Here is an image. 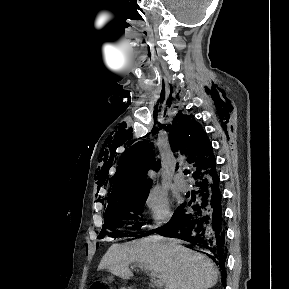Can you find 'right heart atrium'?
I'll return each instance as SVG.
<instances>
[{
	"label": "right heart atrium",
	"mask_w": 289,
	"mask_h": 289,
	"mask_svg": "<svg viewBox=\"0 0 289 289\" xmlns=\"http://www.w3.org/2000/svg\"><path fill=\"white\" fill-rule=\"evenodd\" d=\"M144 207L150 219L149 229L164 226L171 218L167 194L160 188H152L144 198Z\"/></svg>",
	"instance_id": "1"
}]
</instances>
